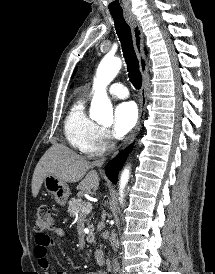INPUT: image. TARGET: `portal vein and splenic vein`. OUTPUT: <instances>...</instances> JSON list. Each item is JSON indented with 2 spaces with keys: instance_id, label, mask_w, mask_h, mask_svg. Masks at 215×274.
Segmentation results:
<instances>
[{
  "instance_id": "portal-vein-and-splenic-vein-1",
  "label": "portal vein and splenic vein",
  "mask_w": 215,
  "mask_h": 274,
  "mask_svg": "<svg viewBox=\"0 0 215 274\" xmlns=\"http://www.w3.org/2000/svg\"><path fill=\"white\" fill-rule=\"evenodd\" d=\"M92 209V204L87 202L83 207H82V212L83 213H89Z\"/></svg>"
}]
</instances>
